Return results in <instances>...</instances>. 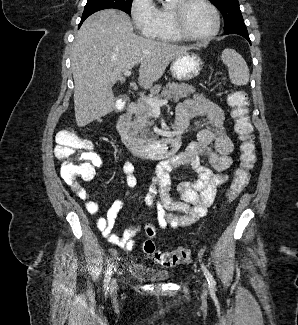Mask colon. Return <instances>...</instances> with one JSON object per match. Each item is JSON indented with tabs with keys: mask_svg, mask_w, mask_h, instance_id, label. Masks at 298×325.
I'll return each mask as SVG.
<instances>
[{
	"mask_svg": "<svg viewBox=\"0 0 298 325\" xmlns=\"http://www.w3.org/2000/svg\"><path fill=\"white\" fill-rule=\"evenodd\" d=\"M227 101L231 107L234 129L240 140L239 163L226 194L227 200L232 202L238 198L250 180L256 163V146L247 95L234 90L229 93ZM55 154L61 162V176L68 185L77 184L80 180L92 179L100 164L99 157L91 143L70 130L62 131L57 135ZM145 233L147 238L142 244V249L159 265L174 267L189 260L191 251L186 247H178L169 251L158 250L153 241L156 235L154 225H146Z\"/></svg>",
	"mask_w": 298,
	"mask_h": 325,
	"instance_id": "colon-1",
	"label": "colon"
}]
</instances>
